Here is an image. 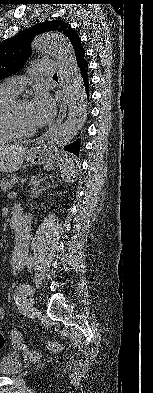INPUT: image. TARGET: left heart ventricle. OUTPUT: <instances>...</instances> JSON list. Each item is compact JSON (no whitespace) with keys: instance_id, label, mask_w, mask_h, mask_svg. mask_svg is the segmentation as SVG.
Here are the masks:
<instances>
[{"instance_id":"b2bd125f","label":"left heart ventricle","mask_w":153,"mask_h":393,"mask_svg":"<svg viewBox=\"0 0 153 393\" xmlns=\"http://www.w3.org/2000/svg\"><path fill=\"white\" fill-rule=\"evenodd\" d=\"M17 119L20 127L25 130L33 129L34 125L30 118V104L26 101L21 102L17 107Z\"/></svg>"}]
</instances>
